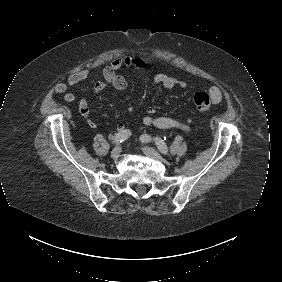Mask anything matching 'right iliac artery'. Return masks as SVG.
I'll use <instances>...</instances> for the list:
<instances>
[{
  "mask_svg": "<svg viewBox=\"0 0 282 282\" xmlns=\"http://www.w3.org/2000/svg\"><path fill=\"white\" fill-rule=\"evenodd\" d=\"M131 131L129 129H125L122 132L118 133L114 139H113V143L118 145L120 143H122L123 141H125L126 139H128L131 136Z\"/></svg>",
  "mask_w": 282,
  "mask_h": 282,
  "instance_id": "1",
  "label": "right iliac artery"
}]
</instances>
